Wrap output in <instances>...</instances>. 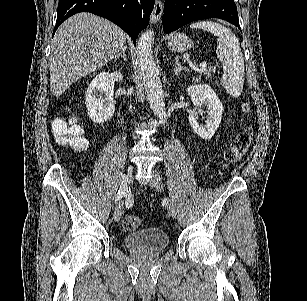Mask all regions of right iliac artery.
Returning <instances> with one entry per match:
<instances>
[{
  "mask_svg": "<svg viewBox=\"0 0 307 301\" xmlns=\"http://www.w3.org/2000/svg\"><path fill=\"white\" fill-rule=\"evenodd\" d=\"M123 195H124V191L118 190L115 202H118L123 197Z\"/></svg>",
  "mask_w": 307,
  "mask_h": 301,
  "instance_id": "82829eb1",
  "label": "right iliac artery"
}]
</instances>
